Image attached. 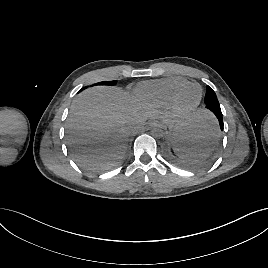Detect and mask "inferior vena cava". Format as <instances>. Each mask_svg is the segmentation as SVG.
I'll return each instance as SVG.
<instances>
[{
	"label": "inferior vena cava",
	"mask_w": 268,
	"mask_h": 268,
	"mask_svg": "<svg viewBox=\"0 0 268 268\" xmlns=\"http://www.w3.org/2000/svg\"><path fill=\"white\" fill-rule=\"evenodd\" d=\"M136 128H138V123H133V127H131V132H136Z\"/></svg>",
	"instance_id": "obj_1"
}]
</instances>
